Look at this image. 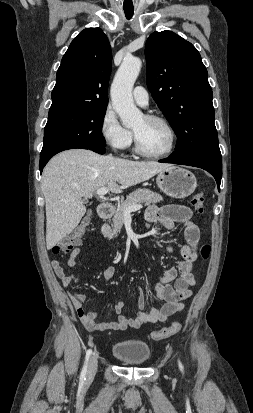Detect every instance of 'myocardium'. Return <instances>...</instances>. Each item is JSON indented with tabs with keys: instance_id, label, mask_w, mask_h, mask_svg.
Masks as SVG:
<instances>
[{
	"instance_id": "f54148a6",
	"label": "myocardium",
	"mask_w": 253,
	"mask_h": 413,
	"mask_svg": "<svg viewBox=\"0 0 253 413\" xmlns=\"http://www.w3.org/2000/svg\"><path fill=\"white\" fill-rule=\"evenodd\" d=\"M144 118L148 121L162 124L169 132L170 142L168 147L164 151L158 153H151L142 148L137 135L135 134V132H133L136 153L146 158H160L169 155L175 148L177 142V134L172 124L166 118L157 115H146Z\"/></svg>"
}]
</instances>
